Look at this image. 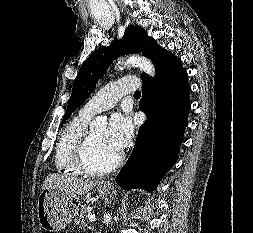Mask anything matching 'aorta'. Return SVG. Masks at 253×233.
I'll return each instance as SVG.
<instances>
[{
    "label": "aorta",
    "instance_id": "obj_1",
    "mask_svg": "<svg viewBox=\"0 0 253 233\" xmlns=\"http://www.w3.org/2000/svg\"><path fill=\"white\" fill-rule=\"evenodd\" d=\"M123 65H133L139 67L146 74L153 76L155 74L154 67L152 63L144 56H130L123 63ZM107 124L106 120L103 117H96L91 123V129L105 127Z\"/></svg>",
    "mask_w": 253,
    "mask_h": 233
}]
</instances>
